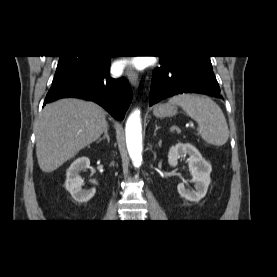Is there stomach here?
<instances>
[{
	"label": "stomach",
	"instance_id": "1",
	"mask_svg": "<svg viewBox=\"0 0 277 277\" xmlns=\"http://www.w3.org/2000/svg\"><path fill=\"white\" fill-rule=\"evenodd\" d=\"M153 113L157 117H170L177 113V109L172 104H161L154 108Z\"/></svg>",
	"mask_w": 277,
	"mask_h": 277
}]
</instances>
